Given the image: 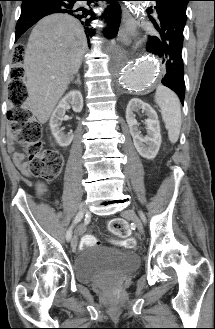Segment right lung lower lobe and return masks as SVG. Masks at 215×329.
<instances>
[{
    "instance_id": "obj_1",
    "label": "right lung lower lobe",
    "mask_w": 215,
    "mask_h": 329,
    "mask_svg": "<svg viewBox=\"0 0 215 329\" xmlns=\"http://www.w3.org/2000/svg\"><path fill=\"white\" fill-rule=\"evenodd\" d=\"M21 15L16 25L15 41L32 25L41 18L54 13H68L77 18L84 26L88 38L95 35L96 30L91 27V21L95 19L92 9L82 5L81 1L98 0H21ZM107 1L109 6L102 14L101 19L106 24L103 33L108 37H114L119 29L121 21L120 0H102Z\"/></svg>"
}]
</instances>
